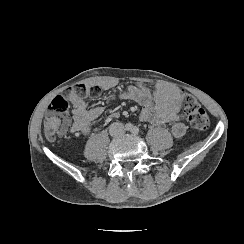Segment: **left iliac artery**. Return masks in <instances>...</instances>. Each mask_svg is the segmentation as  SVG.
Returning <instances> with one entry per match:
<instances>
[{
    "label": "left iliac artery",
    "instance_id": "obj_1",
    "mask_svg": "<svg viewBox=\"0 0 244 244\" xmlns=\"http://www.w3.org/2000/svg\"><path fill=\"white\" fill-rule=\"evenodd\" d=\"M132 133L133 134H138L139 133V128H137V127H134L133 129H132Z\"/></svg>",
    "mask_w": 244,
    "mask_h": 244
}]
</instances>
